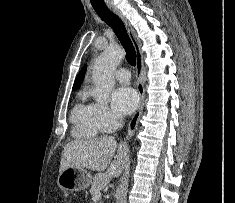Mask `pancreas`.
Listing matches in <instances>:
<instances>
[{"label":"pancreas","mask_w":235,"mask_h":203,"mask_svg":"<svg viewBox=\"0 0 235 203\" xmlns=\"http://www.w3.org/2000/svg\"><path fill=\"white\" fill-rule=\"evenodd\" d=\"M108 183H109V177L107 176V174L97 173L93 177L92 185H91V188H90L91 195L94 196L96 191H98V190L100 191Z\"/></svg>","instance_id":"obj_1"}]
</instances>
